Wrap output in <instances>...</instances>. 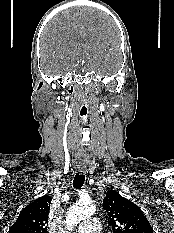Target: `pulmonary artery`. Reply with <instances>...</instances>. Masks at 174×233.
<instances>
[{"mask_svg": "<svg viewBox=\"0 0 174 233\" xmlns=\"http://www.w3.org/2000/svg\"><path fill=\"white\" fill-rule=\"evenodd\" d=\"M101 225L97 219H87L83 221L78 227V233H100Z\"/></svg>", "mask_w": 174, "mask_h": 233, "instance_id": "1", "label": "pulmonary artery"}]
</instances>
